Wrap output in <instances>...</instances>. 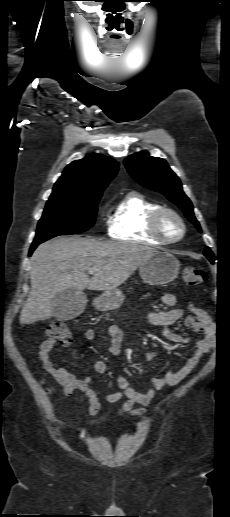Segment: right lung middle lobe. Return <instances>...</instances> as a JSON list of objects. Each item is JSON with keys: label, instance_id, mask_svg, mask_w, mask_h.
Here are the masks:
<instances>
[{"label": "right lung middle lobe", "instance_id": "dd1d6c3e", "mask_svg": "<svg viewBox=\"0 0 230 517\" xmlns=\"http://www.w3.org/2000/svg\"><path fill=\"white\" fill-rule=\"evenodd\" d=\"M101 195L49 198L33 243L40 244L55 236L88 230L94 225Z\"/></svg>", "mask_w": 230, "mask_h": 517}]
</instances>
